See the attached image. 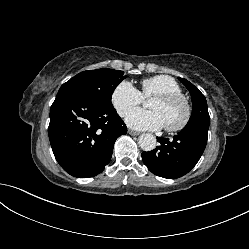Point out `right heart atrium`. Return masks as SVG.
Wrapping results in <instances>:
<instances>
[{
  "instance_id": "obj_1",
  "label": "right heart atrium",
  "mask_w": 249,
  "mask_h": 249,
  "mask_svg": "<svg viewBox=\"0 0 249 249\" xmlns=\"http://www.w3.org/2000/svg\"><path fill=\"white\" fill-rule=\"evenodd\" d=\"M141 93L129 81H121L111 94V103L120 116H125L134 106L141 104Z\"/></svg>"
}]
</instances>
